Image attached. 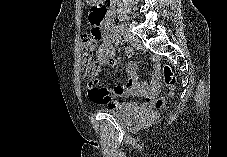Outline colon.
<instances>
[{"mask_svg":"<svg viewBox=\"0 0 227 157\" xmlns=\"http://www.w3.org/2000/svg\"><path fill=\"white\" fill-rule=\"evenodd\" d=\"M89 16H98L97 9H92ZM97 27V25H94ZM99 39V32H93L91 35L84 33L81 36V44L84 54V78L87 85H94L97 82V77L99 74V66L97 61L93 56V51L97 40ZM163 79L165 85L172 91L174 89L176 79L172 72V69L166 65L163 69ZM166 104V98L161 97L154 101V106L157 109L164 107Z\"/></svg>","mask_w":227,"mask_h":157,"instance_id":"5ec220e1","label":"colon"}]
</instances>
